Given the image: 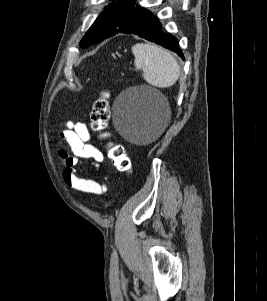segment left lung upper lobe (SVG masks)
<instances>
[{"label":"left lung upper lobe","mask_w":267,"mask_h":301,"mask_svg":"<svg viewBox=\"0 0 267 301\" xmlns=\"http://www.w3.org/2000/svg\"><path fill=\"white\" fill-rule=\"evenodd\" d=\"M114 1V0H112ZM135 0H118L105 7L80 42L87 48L120 32L133 27L148 18L152 13L133 4Z\"/></svg>","instance_id":"1"}]
</instances>
